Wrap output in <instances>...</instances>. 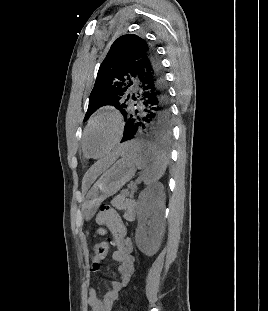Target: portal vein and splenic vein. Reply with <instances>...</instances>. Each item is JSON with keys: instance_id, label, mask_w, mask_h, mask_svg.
I'll return each instance as SVG.
<instances>
[{"instance_id": "1", "label": "portal vein and splenic vein", "mask_w": 268, "mask_h": 311, "mask_svg": "<svg viewBox=\"0 0 268 311\" xmlns=\"http://www.w3.org/2000/svg\"><path fill=\"white\" fill-rule=\"evenodd\" d=\"M123 194H124V195H127V194H128V192H123Z\"/></svg>"}]
</instances>
